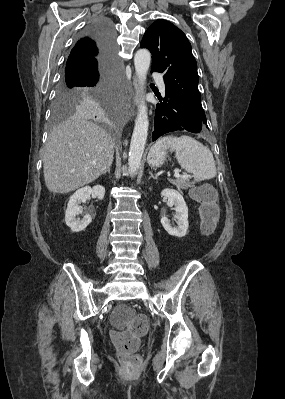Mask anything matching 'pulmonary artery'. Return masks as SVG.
<instances>
[{"label":"pulmonary artery","instance_id":"obj_1","mask_svg":"<svg viewBox=\"0 0 285 399\" xmlns=\"http://www.w3.org/2000/svg\"><path fill=\"white\" fill-rule=\"evenodd\" d=\"M153 77L157 80L160 89H161L162 91H164V90H165V85H164V83H163L162 76H161L160 74H158V73H154V74H153Z\"/></svg>","mask_w":285,"mask_h":399}]
</instances>
